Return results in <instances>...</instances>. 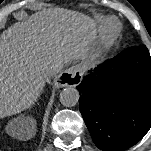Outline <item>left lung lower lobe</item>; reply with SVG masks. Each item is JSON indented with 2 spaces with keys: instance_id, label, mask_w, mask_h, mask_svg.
<instances>
[{
  "instance_id": "1",
  "label": "left lung lower lobe",
  "mask_w": 151,
  "mask_h": 151,
  "mask_svg": "<svg viewBox=\"0 0 151 151\" xmlns=\"http://www.w3.org/2000/svg\"><path fill=\"white\" fill-rule=\"evenodd\" d=\"M80 111L96 146L124 151L151 127V57L131 46L98 65L76 87Z\"/></svg>"
}]
</instances>
